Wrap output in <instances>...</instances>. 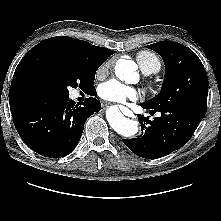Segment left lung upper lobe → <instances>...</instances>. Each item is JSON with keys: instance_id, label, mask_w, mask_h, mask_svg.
I'll list each match as a JSON object with an SVG mask.
<instances>
[{"instance_id": "obj_1", "label": "left lung upper lobe", "mask_w": 221, "mask_h": 221, "mask_svg": "<svg viewBox=\"0 0 221 221\" xmlns=\"http://www.w3.org/2000/svg\"><path fill=\"white\" fill-rule=\"evenodd\" d=\"M147 47L163 58L165 78L161 92L146 104L154 109L174 105L206 109L209 83L198 56L184 45L172 41H161Z\"/></svg>"}]
</instances>
